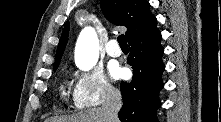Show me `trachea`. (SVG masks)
Returning a JSON list of instances; mask_svg holds the SVG:
<instances>
[{
	"label": "trachea",
	"instance_id": "1",
	"mask_svg": "<svg viewBox=\"0 0 221 122\" xmlns=\"http://www.w3.org/2000/svg\"><path fill=\"white\" fill-rule=\"evenodd\" d=\"M118 43L120 47H128L126 38L123 34L118 37Z\"/></svg>",
	"mask_w": 221,
	"mask_h": 122
}]
</instances>
